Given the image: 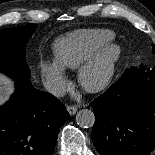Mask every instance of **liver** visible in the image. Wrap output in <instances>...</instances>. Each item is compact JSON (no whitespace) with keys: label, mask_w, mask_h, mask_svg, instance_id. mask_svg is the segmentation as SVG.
<instances>
[{"label":"liver","mask_w":155,"mask_h":155,"mask_svg":"<svg viewBox=\"0 0 155 155\" xmlns=\"http://www.w3.org/2000/svg\"><path fill=\"white\" fill-rule=\"evenodd\" d=\"M13 92L11 81L4 75H0V105L3 104Z\"/></svg>","instance_id":"1"}]
</instances>
